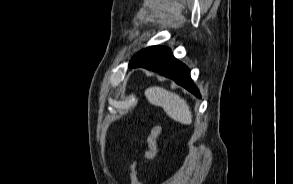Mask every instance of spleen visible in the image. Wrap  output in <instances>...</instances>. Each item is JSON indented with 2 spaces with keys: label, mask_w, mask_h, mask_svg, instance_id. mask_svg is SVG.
I'll use <instances>...</instances> for the list:
<instances>
[{
  "label": "spleen",
  "mask_w": 293,
  "mask_h": 184,
  "mask_svg": "<svg viewBox=\"0 0 293 184\" xmlns=\"http://www.w3.org/2000/svg\"><path fill=\"white\" fill-rule=\"evenodd\" d=\"M145 96L152 105L162 107L166 114L176 122L185 125L192 123L190 108L178 94L155 86L146 89Z\"/></svg>",
  "instance_id": "spleen-1"
}]
</instances>
